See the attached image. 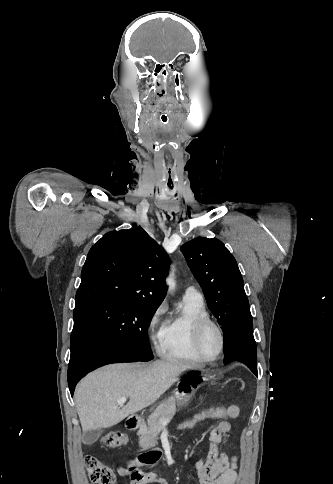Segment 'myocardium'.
I'll use <instances>...</instances> for the list:
<instances>
[{
	"instance_id": "myocardium-1",
	"label": "myocardium",
	"mask_w": 333,
	"mask_h": 484,
	"mask_svg": "<svg viewBox=\"0 0 333 484\" xmlns=\"http://www.w3.org/2000/svg\"><path fill=\"white\" fill-rule=\"evenodd\" d=\"M209 327H212L217 331L219 336V342H220L219 350L217 354L213 357L207 356L202 349V338L205 331ZM193 345L196 353L204 362H213L218 360L223 355L224 348H225V336L221 326L210 318H204L198 321L193 330Z\"/></svg>"
}]
</instances>
